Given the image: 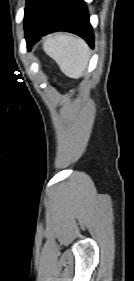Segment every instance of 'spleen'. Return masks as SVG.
<instances>
[{
    "label": "spleen",
    "mask_w": 134,
    "mask_h": 281,
    "mask_svg": "<svg viewBox=\"0 0 134 281\" xmlns=\"http://www.w3.org/2000/svg\"><path fill=\"white\" fill-rule=\"evenodd\" d=\"M43 49L48 56L56 61L66 76L78 79L85 73L90 50L82 39L56 33L44 40Z\"/></svg>",
    "instance_id": "1"
}]
</instances>
